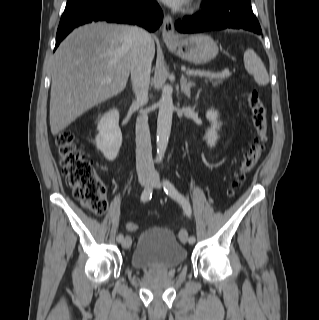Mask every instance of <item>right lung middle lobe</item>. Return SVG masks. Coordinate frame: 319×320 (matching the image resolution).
<instances>
[{"mask_svg":"<svg viewBox=\"0 0 319 320\" xmlns=\"http://www.w3.org/2000/svg\"><path fill=\"white\" fill-rule=\"evenodd\" d=\"M87 0H67L66 8L65 9H71L73 7H76L80 5L81 3L85 2Z\"/></svg>","mask_w":319,"mask_h":320,"instance_id":"obj_1","label":"right lung middle lobe"}]
</instances>
